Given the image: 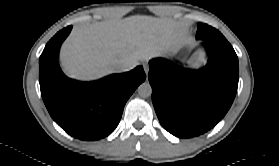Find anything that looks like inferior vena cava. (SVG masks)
<instances>
[{
    "instance_id": "obj_1",
    "label": "inferior vena cava",
    "mask_w": 279,
    "mask_h": 166,
    "mask_svg": "<svg viewBox=\"0 0 279 166\" xmlns=\"http://www.w3.org/2000/svg\"><path fill=\"white\" fill-rule=\"evenodd\" d=\"M137 65H138V62H136V61H129V62L122 63L118 67V69H119V71L125 72V71H129V70L135 68Z\"/></svg>"
}]
</instances>
